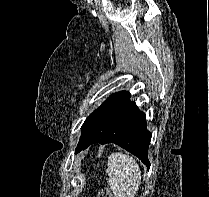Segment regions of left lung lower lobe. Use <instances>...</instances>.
<instances>
[{
  "label": "left lung lower lobe",
  "mask_w": 209,
  "mask_h": 197,
  "mask_svg": "<svg viewBox=\"0 0 209 197\" xmlns=\"http://www.w3.org/2000/svg\"><path fill=\"white\" fill-rule=\"evenodd\" d=\"M150 141L151 132L146 128L145 114L135 102L130 101V93L125 92L81 136L75 152L93 143H114L137 156L149 169L147 154Z\"/></svg>",
  "instance_id": "obj_1"
}]
</instances>
